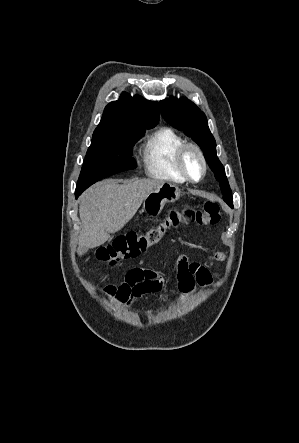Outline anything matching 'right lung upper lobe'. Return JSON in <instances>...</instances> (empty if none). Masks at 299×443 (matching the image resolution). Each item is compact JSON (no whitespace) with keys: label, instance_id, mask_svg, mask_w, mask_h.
Wrapping results in <instances>:
<instances>
[{"label":"right lung upper lobe","instance_id":"1","mask_svg":"<svg viewBox=\"0 0 299 443\" xmlns=\"http://www.w3.org/2000/svg\"><path fill=\"white\" fill-rule=\"evenodd\" d=\"M159 121L158 103L147 101L140 96L131 97L122 93L117 101L108 104L93 136L105 133L135 130Z\"/></svg>","mask_w":299,"mask_h":443}]
</instances>
